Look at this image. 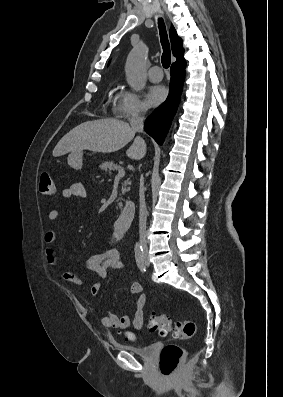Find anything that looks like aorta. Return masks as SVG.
<instances>
[{"instance_id":"obj_1","label":"aorta","mask_w":283,"mask_h":397,"mask_svg":"<svg viewBox=\"0 0 283 397\" xmlns=\"http://www.w3.org/2000/svg\"><path fill=\"white\" fill-rule=\"evenodd\" d=\"M148 48L144 44H139L129 53L125 73L130 87L135 91H141L146 85V59ZM140 242L136 244V249H140Z\"/></svg>"}]
</instances>
